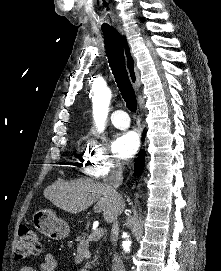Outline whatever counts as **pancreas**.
Returning a JSON list of instances; mask_svg holds the SVG:
<instances>
[{"label": "pancreas", "instance_id": "cf45deb5", "mask_svg": "<svg viewBox=\"0 0 221 271\" xmlns=\"http://www.w3.org/2000/svg\"><path fill=\"white\" fill-rule=\"evenodd\" d=\"M87 235V237H85ZM90 239L89 233H82V235H79V237H76V242H88ZM97 255H95L93 261H89V263H86V265H93L94 261H96Z\"/></svg>", "mask_w": 221, "mask_h": 271}]
</instances>
